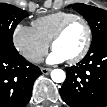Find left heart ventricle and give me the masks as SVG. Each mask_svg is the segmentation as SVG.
<instances>
[{
    "label": "left heart ventricle",
    "mask_w": 107,
    "mask_h": 107,
    "mask_svg": "<svg viewBox=\"0 0 107 107\" xmlns=\"http://www.w3.org/2000/svg\"><path fill=\"white\" fill-rule=\"evenodd\" d=\"M87 38L86 28L83 23H73L64 35L55 43L54 50L66 59L76 56L84 47Z\"/></svg>",
    "instance_id": "obj_1"
}]
</instances>
